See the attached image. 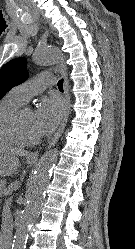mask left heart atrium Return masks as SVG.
Instances as JSON below:
<instances>
[{"instance_id":"1","label":"left heart atrium","mask_w":135,"mask_h":249,"mask_svg":"<svg viewBox=\"0 0 135 249\" xmlns=\"http://www.w3.org/2000/svg\"><path fill=\"white\" fill-rule=\"evenodd\" d=\"M64 111L65 105L60 97L43 99L35 113V125L39 135L51 133L61 121Z\"/></svg>"}]
</instances>
